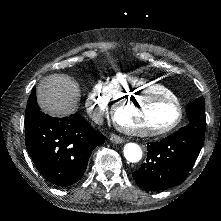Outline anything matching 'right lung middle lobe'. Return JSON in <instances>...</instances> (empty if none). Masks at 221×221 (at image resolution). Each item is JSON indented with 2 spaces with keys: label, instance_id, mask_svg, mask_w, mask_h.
Instances as JSON below:
<instances>
[{
  "label": "right lung middle lobe",
  "instance_id": "1",
  "mask_svg": "<svg viewBox=\"0 0 221 221\" xmlns=\"http://www.w3.org/2000/svg\"><path fill=\"white\" fill-rule=\"evenodd\" d=\"M38 104L36 102V92L35 89L32 90V94L29 96V99L27 101V107L26 112L34 109H38Z\"/></svg>",
  "mask_w": 221,
  "mask_h": 221
}]
</instances>
